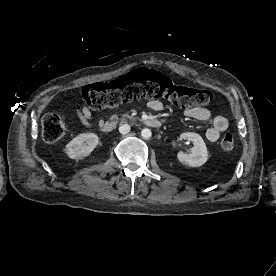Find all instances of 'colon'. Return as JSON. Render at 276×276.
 Returning a JSON list of instances; mask_svg holds the SVG:
<instances>
[{"mask_svg": "<svg viewBox=\"0 0 276 276\" xmlns=\"http://www.w3.org/2000/svg\"><path fill=\"white\" fill-rule=\"evenodd\" d=\"M83 100L93 109L115 107L139 99H165L170 103L187 108L203 106L212 101V94L205 89H196L175 84L167 75L141 67L109 83H95L81 91ZM42 136L46 142L59 140L66 132L65 120L57 114H45L41 122ZM223 151H232L235 139L226 133L221 141Z\"/></svg>", "mask_w": 276, "mask_h": 276, "instance_id": "obj_1", "label": "colon"}]
</instances>
